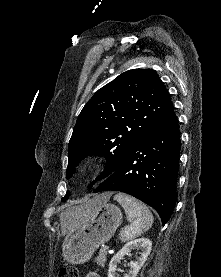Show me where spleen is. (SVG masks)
I'll list each match as a JSON object with an SVG mask.
<instances>
[{"mask_svg":"<svg viewBox=\"0 0 221 277\" xmlns=\"http://www.w3.org/2000/svg\"><path fill=\"white\" fill-rule=\"evenodd\" d=\"M114 200L124 208L130 222L120 232L122 242L136 238L151 228L153 216L145 204L124 193L116 194Z\"/></svg>","mask_w":221,"mask_h":277,"instance_id":"spleen-1","label":"spleen"}]
</instances>
